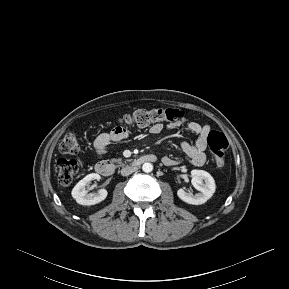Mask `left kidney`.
I'll use <instances>...</instances> for the list:
<instances>
[{"instance_id": "left-kidney-1", "label": "left kidney", "mask_w": 289, "mask_h": 289, "mask_svg": "<svg viewBox=\"0 0 289 289\" xmlns=\"http://www.w3.org/2000/svg\"><path fill=\"white\" fill-rule=\"evenodd\" d=\"M191 183L195 189L200 191L193 195L191 192H186L183 189L177 191L178 197L184 202L192 205H201L209 200L215 192L216 185L213 177L204 170H192Z\"/></svg>"}]
</instances>
